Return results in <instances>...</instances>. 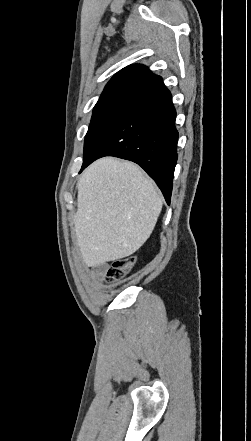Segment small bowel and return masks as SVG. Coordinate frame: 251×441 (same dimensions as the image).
<instances>
[{"instance_id":"1","label":"small bowel","mask_w":251,"mask_h":441,"mask_svg":"<svg viewBox=\"0 0 251 441\" xmlns=\"http://www.w3.org/2000/svg\"><path fill=\"white\" fill-rule=\"evenodd\" d=\"M107 268H108V264L105 263V262H102V263H98V264H96V265L93 267L92 278H93L97 283H99V282L102 280V278H103V276H104L105 271H106Z\"/></svg>"}]
</instances>
